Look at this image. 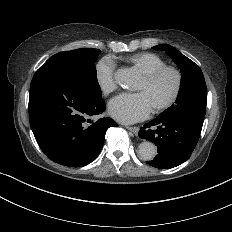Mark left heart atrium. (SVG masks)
Returning <instances> with one entry per match:
<instances>
[{"mask_svg": "<svg viewBox=\"0 0 232 232\" xmlns=\"http://www.w3.org/2000/svg\"><path fill=\"white\" fill-rule=\"evenodd\" d=\"M155 107L146 92L123 93L108 104V114L115 120L131 124L149 117Z\"/></svg>", "mask_w": 232, "mask_h": 232, "instance_id": "1", "label": "left heart atrium"}]
</instances>
